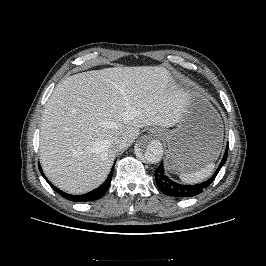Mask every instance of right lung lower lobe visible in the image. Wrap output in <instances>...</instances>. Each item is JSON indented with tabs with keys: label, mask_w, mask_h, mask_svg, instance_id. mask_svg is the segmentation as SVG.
I'll return each mask as SVG.
<instances>
[{
	"label": "right lung lower lobe",
	"mask_w": 266,
	"mask_h": 266,
	"mask_svg": "<svg viewBox=\"0 0 266 266\" xmlns=\"http://www.w3.org/2000/svg\"><path fill=\"white\" fill-rule=\"evenodd\" d=\"M113 169L114 166L108 176V178L106 179V181L97 189L87 193V194H83V195H71V194H67L65 192H62L61 190H59L58 188H56L53 184H51V182L45 177L44 173L42 172L41 166L39 165V170L41 172V174L43 175V177L46 179V181L48 182V184L57 192L59 193L61 196H63L64 198L70 200V201H74V202H86V201H93L96 199H99L100 197H102L104 195V193L107 191V189L109 188V185L111 183V179H112V174H113Z\"/></svg>",
	"instance_id": "obj_1"
}]
</instances>
